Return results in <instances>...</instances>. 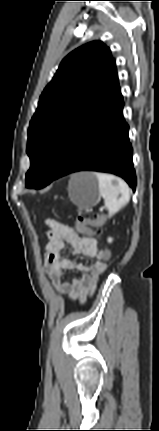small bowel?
<instances>
[{"label": "small bowel", "mask_w": 159, "mask_h": 431, "mask_svg": "<svg viewBox=\"0 0 159 431\" xmlns=\"http://www.w3.org/2000/svg\"><path fill=\"white\" fill-rule=\"evenodd\" d=\"M48 243L45 248V262L54 288L59 293L68 294L69 301L85 300L95 289L100 275L106 272L107 261L92 237L81 236L73 228L55 220H47ZM69 243L73 255L98 258L91 266L76 263L72 258H62L60 253ZM68 270H77L80 277L64 279Z\"/></svg>", "instance_id": "small-bowel-1"}]
</instances>
